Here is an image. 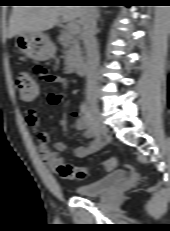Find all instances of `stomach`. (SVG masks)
<instances>
[{"label":"stomach","instance_id":"1","mask_svg":"<svg viewBox=\"0 0 170 231\" xmlns=\"http://www.w3.org/2000/svg\"><path fill=\"white\" fill-rule=\"evenodd\" d=\"M18 50L37 61H45L55 54V46L43 32L26 31L15 37Z\"/></svg>","mask_w":170,"mask_h":231}]
</instances>
